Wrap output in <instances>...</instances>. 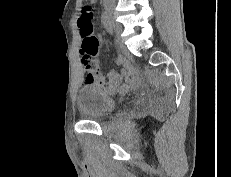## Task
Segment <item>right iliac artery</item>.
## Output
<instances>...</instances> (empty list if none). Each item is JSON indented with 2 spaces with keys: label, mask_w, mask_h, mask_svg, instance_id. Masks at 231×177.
<instances>
[{
  "label": "right iliac artery",
  "mask_w": 231,
  "mask_h": 177,
  "mask_svg": "<svg viewBox=\"0 0 231 177\" xmlns=\"http://www.w3.org/2000/svg\"><path fill=\"white\" fill-rule=\"evenodd\" d=\"M102 24L105 27V29L107 30L108 33L112 34L113 33V28H112V24L106 14V12L103 13L102 15Z\"/></svg>",
  "instance_id": "right-iliac-artery-1"
}]
</instances>
